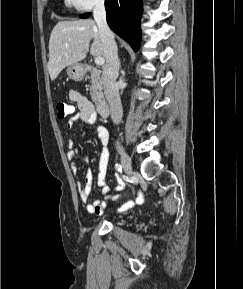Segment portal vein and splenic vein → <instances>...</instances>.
<instances>
[{
  "label": "portal vein and splenic vein",
  "instance_id": "portal-vein-and-splenic-vein-1",
  "mask_svg": "<svg viewBox=\"0 0 243 289\" xmlns=\"http://www.w3.org/2000/svg\"><path fill=\"white\" fill-rule=\"evenodd\" d=\"M68 45H69L68 43L65 44L66 47H67ZM95 63H96L97 65H104L105 60H104L103 57H97V58H95Z\"/></svg>",
  "mask_w": 243,
  "mask_h": 289
}]
</instances>
